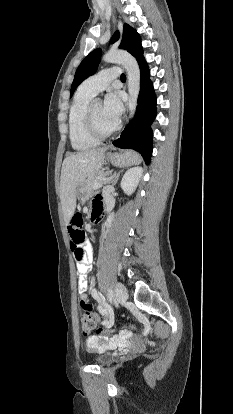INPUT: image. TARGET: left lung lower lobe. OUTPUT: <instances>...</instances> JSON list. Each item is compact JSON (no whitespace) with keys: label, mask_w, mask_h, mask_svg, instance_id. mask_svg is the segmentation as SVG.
Returning <instances> with one entry per match:
<instances>
[{"label":"left lung lower lobe","mask_w":233,"mask_h":414,"mask_svg":"<svg viewBox=\"0 0 233 414\" xmlns=\"http://www.w3.org/2000/svg\"><path fill=\"white\" fill-rule=\"evenodd\" d=\"M138 63L141 73V86L136 114L129 126L122 132L120 138L113 141V145L136 150L142 155L145 163L149 164L153 150V132L150 126L156 117V96L145 59L143 58Z\"/></svg>","instance_id":"0a47b994"}]
</instances>
